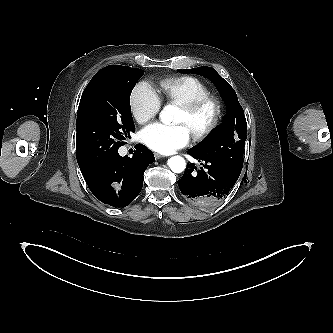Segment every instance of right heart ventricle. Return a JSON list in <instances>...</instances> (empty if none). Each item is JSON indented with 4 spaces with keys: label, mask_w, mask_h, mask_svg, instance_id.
Wrapping results in <instances>:
<instances>
[{
    "label": "right heart ventricle",
    "mask_w": 333,
    "mask_h": 333,
    "mask_svg": "<svg viewBox=\"0 0 333 333\" xmlns=\"http://www.w3.org/2000/svg\"><path fill=\"white\" fill-rule=\"evenodd\" d=\"M160 90L166 101L178 106L191 103L210 94L206 84L192 76L164 79L160 83Z\"/></svg>",
    "instance_id": "obj_1"
}]
</instances>
